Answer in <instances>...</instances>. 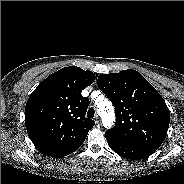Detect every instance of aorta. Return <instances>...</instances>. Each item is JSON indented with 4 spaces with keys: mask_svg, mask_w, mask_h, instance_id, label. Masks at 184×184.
Listing matches in <instances>:
<instances>
[{
    "mask_svg": "<svg viewBox=\"0 0 184 184\" xmlns=\"http://www.w3.org/2000/svg\"><path fill=\"white\" fill-rule=\"evenodd\" d=\"M97 111L105 128H111L114 122V111L110 101L106 98H102L97 101Z\"/></svg>",
    "mask_w": 184,
    "mask_h": 184,
    "instance_id": "aorta-1",
    "label": "aorta"
}]
</instances>
